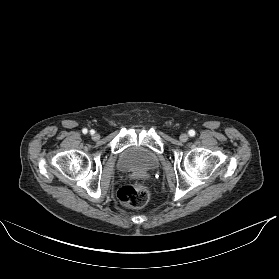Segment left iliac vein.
<instances>
[{"label":"left iliac vein","mask_w":279,"mask_h":279,"mask_svg":"<svg viewBox=\"0 0 279 279\" xmlns=\"http://www.w3.org/2000/svg\"><path fill=\"white\" fill-rule=\"evenodd\" d=\"M188 135L186 133H182L179 137L180 141L186 142L188 140Z\"/></svg>","instance_id":"obj_1"}]
</instances>
